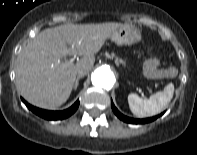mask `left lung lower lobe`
Listing matches in <instances>:
<instances>
[{
    "mask_svg": "<svg viewBox=\"0 0 197 155\" xmlns=\"http://www.w3.org/2000/svg\"><path fill=\"white\" fill-rule=\"evenodd\" d=\"M111 107H112L113 112L117 115V117H118L119 119L123 120L124 122L132 123V124H144V123H149V122L154 121L155 119H157L159 116L162 115V114H160V115H157V116H154V117H150V118H146V119H133V118H130V117H127V116H124L123 114H121V113L116 109V107L114 106V104H113L112 101H111Z\"/></svg>",
    "mask_w": 197,
    "mask_h": 155,
    "instance_id": "0a47b994",
    "label": "left lung lower lobe"
}]
</instances>
